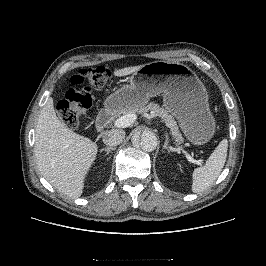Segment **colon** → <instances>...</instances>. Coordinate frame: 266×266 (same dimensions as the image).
<instances>
[{"label":"colon","instance_id":"obj_1","mask_svg":"<svg viewBox=\"0 0 266 266\" xmlns=\"http://www.w3.org/2000/svg\"><path fill=\"white\" fill-rule=\"evenodd\" d=\"M110 78V69L104 65L81 68L71 76L64 98L57 105L59 118L67 128H76L80 117L91 109V89L105 87Z\"/></svg>","mask_w":266,"mask_h":266}]
</instances>
